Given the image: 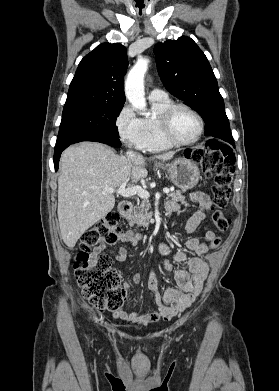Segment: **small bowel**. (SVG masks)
I'll use <instances>...</instances> for the list:
<instances>
[{
  "instance_id": "small-bowel-1",
  "label": "small bowel",
  "mask_w": 279,
  "mask_h": 391,
  "mask_svg": "<svg viewBox=\"0 0 279 391\" xmlns=\"http://www.w3.org/2000/svg\"><path fill=\"white\" fill-rule=\"evenodd\" d=\"M192 200L200 206V210L195 212L188 220L186 229L189 233L193 232L199 224L205 219L207 211L211 208L210 197L202 192H195L191 196ZM179 206L176 202L168 201L166 203V210L169 213L176 212ZM216 235L213 231L207 230L205 232V239L211 242ZM123 243L136 244V238L131 231L121 233L118 238ZM186 250L178 251L173 256L175 280L178 289L169 288L163 295L160 293V286L156 277L154 269H151L148 275V288L155 297L157 311L149 312H131L127 313L123 308L113 312L114 318L122 321L131 322L138 325H149L159 320H169L177 314L183 312L191 306L202 291L203 283L208 275V265L203 259V256L209 251L210 245L206 242H200L197 238L191 237L186 243ZM106 249V245L102 244L94 248L92 254L97 256ZM159 252L163 257V266L166 270L173 269L172 264L168 260L170 254L169 248L165 244L159 245ZM196 254V257H189L188 254ZM126 249L120 247L115 255L117 261H124L126 259ZM187 263L188 270L182 268V265ZM135 283L140 282L139 274L133 276ZM129 285L124 284L127 289Z\"/></svg>"
}]
</instances>
